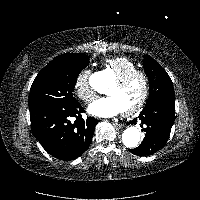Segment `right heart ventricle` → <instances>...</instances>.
<instances>
[{
    "mask_svg": "<svg viewBox=\"0 0 200 200\" xmlns=\"http://www.w3.org/2000/svg\"><path fill=\"white\" fill-rule=\"evenodd\" d=\"M106 69L110 70L117 79L128 72L137 70V65L126 56H115L103 61Z\"/></svg>",
    "mask_w": 200,
    "mask_h": 200,
    "instance_id": "e07e8e85",
    "label": "right heart ventricle"
}]
</instances>
